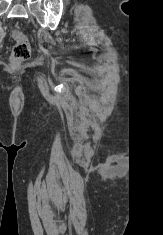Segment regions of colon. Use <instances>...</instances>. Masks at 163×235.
Masks as SVG:
<instances>
[{"mask_svg": "<svg viewBox=\"0 0 163 235\" xmlns=\"http://www.w3.org/2000/svg\"><path fill=\"white\" fill-rule=\"evenodd\" d=\"M11 36L15 40L11 59L13 63L19 64L29 58L31 54V46L25 34L18 29H12Z\"/></svg>", "mask_w": 163, "mask_h": 235, "instance_id": "obj_1", "label": "colon"}]
</instances>
